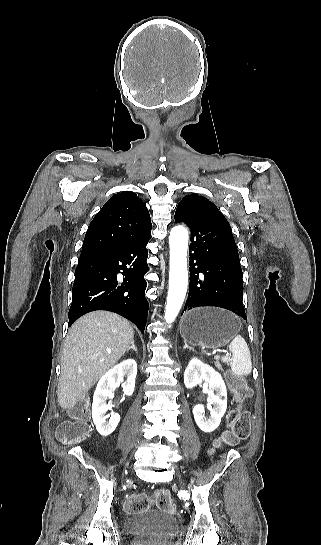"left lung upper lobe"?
Returning <instances> with one entry per match:
<instances>
[{"label": "left lung upper lobe", "mask_w": 321, "mask_h": 545, "mask_svg": "<svg viewBox=\"0 0 321 545\" xmlns=\"http://www.w3.org/2000/svg\"><path fill=\"white\" fill-rule=\"evenodd\" d=\"M217 208L211 201L198 194H190L184 197L178 204L176 213L183 210H197L201 208Z\"/></svg>", "instance_id": "1"}]
</instances>
